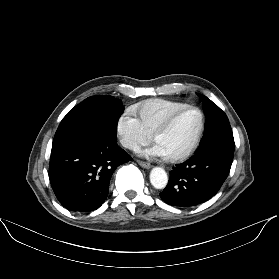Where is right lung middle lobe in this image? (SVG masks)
<instances>
[{"instance_id":"dd1d6c3e","label":"right lung middle lobe","mask_w":279,"mask_h":279,"mask_svg":"<svg viewBox=\"0 0 279 279\" xmlns=\"http://www.w3.org/2000/svg\"><path fill=\"white\" fill-rule=\"evenodd\" d=\"M123 112L121 101L109 95L88 97L61 121L52 148L76 145L91 137L116 135V124Z\"/></svg>"}]
</instances>
